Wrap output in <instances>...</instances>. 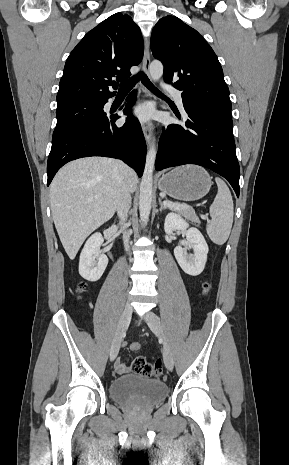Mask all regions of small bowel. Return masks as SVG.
Returning a JSON list of instances; mask_svg holds the SVG:
<instances>
[{"label":"small bowel","instance_id":"obj_1","mask_svg":"<svg viewBox=\"0 0 289 465\" xmlns=\"http://www.w3.org/2000/svg\"><path fill=\"white\" fill-rule=\"evenodd\" d=\"M115 370L118 374H124L129 371V367L120 360H117L115 363Z\"/></svg>","mask_w":289,"mask_h":465}]
</instances>
